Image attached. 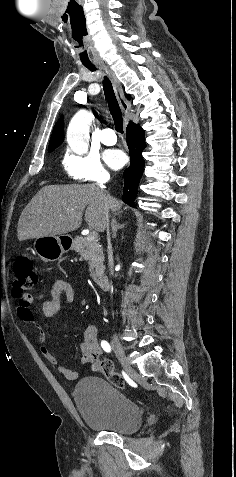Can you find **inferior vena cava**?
Instances as JSON below:
<instances>
[{"mask_svg": "<svg viewBox=\"0 0 236 477\" xmlns=\"http://www.w3.org/2000/svg\"><path fill=\"white\" fill-rule=\"evenodd\" d=\"M101 190L105 188L103 183L99 184ZM103 229H106L107 232V242H108V265L109 269L112 274V268H113V253H112V246H111V240H110V232H109V206H108V199L106 196H104V206H103Z\"/></svg>", "mask_w": 236, "mask_h": 477, "instance_id": "inferior-vena-cava-1", "label": "inferior vena cava"}]
</instances>
